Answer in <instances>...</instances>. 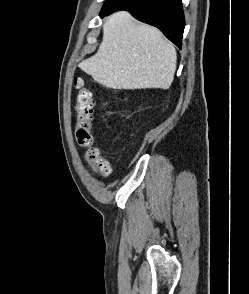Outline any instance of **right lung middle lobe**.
<instances>
[{"instance_id": "1", "label": "right lung middle lobe", "mask_w": 249, "mask_h": 294, "mask_svg": "<svg viewBox=\"0 0 249 294\" xmlns=\"http://www.w3.org/2000/svg\"><path fill=\"white\" fill-rule=\"evenodd\" d=\"M121 1H123V0H106L105 3H104V6L102 8V11L105 10V9H107V8L112 7L114 5H117Z\"/></svg>"}]
</instances>
